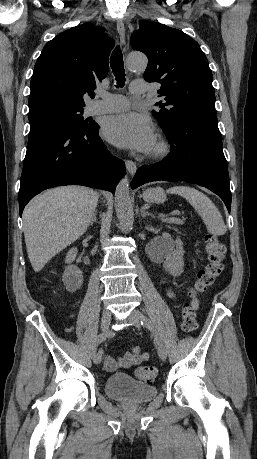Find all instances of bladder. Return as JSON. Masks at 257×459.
<instances>
[{
    "label": "bladder",
    "mask_w": 257,
    "mask_h": 459,
    "mask_svg": "<svg viewBox=\"0 0 257 459\" xmlns=\"http://www.w3.org/2000/svg\"><path fill=\"white\" fill-rule=\"evenodd\" d=\"M106 395L127 404H144L157 395V388L137 381L127 373H115L105 381Z\"/></svg>",
    "instance_id": "1"
}]
</instances>
